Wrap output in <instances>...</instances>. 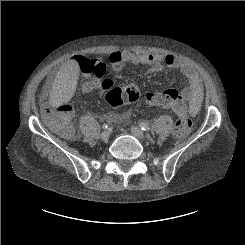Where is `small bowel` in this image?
<instances>
[{"label":"small bowel","mask_w":245,"mask_h":245,"mask_svg":"<svg viewBox=\"0 0 245 245\" xmlns=\"http://www.w3.org/2000/svg\"><path fill=\"white\" fill-rule=\"evenodd\" d=\"M108 60L112 70L115 72L121 71L128 65H147L150 67L151 72H160L163 65H166L171 69L180 71L188 82V86L181 92L182 98L189 105L188 113L194 116L199 112L204 97L203 86L199 75L193 67L179 59L176 55L119 50L110 52L108 54ZM76 70L77 65L75 59L69 58L55 69V74L64 76ZM106 85L111 86L109 79L89 78L83 86V92L103 91Z\"/></svg>","instance_id":"obj_1"}]
</instances>
